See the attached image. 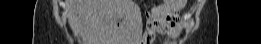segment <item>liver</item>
Listing matches in <instances>:
<instances>
[{
    "label": "liver",
    "instance_id": "6515ba94",
    "mask_svg": "<svg viewBox=\"0 0 261 44\" xmlns=\"http://www.w3.org/2000/svg\"><path fill=\"white\" fill-rule=\"evenodd\" d=\"M78 13L83 44H137L144 25L132 0H70Z\"/></svg>",
    "mask_w": 261,
    "mask_h": 44
}]
</instances>
